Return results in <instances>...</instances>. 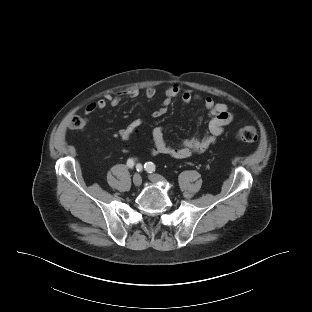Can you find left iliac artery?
Masks as SVG:
<instances>
[{
	"mask_svg": "<svg viewBox=\"0 0 312 312\" xmlns=\"http://www.w3.org/2000/svg\"><path fill=\"white\" fill-rule=\"evenodd\" d=\"M144 168L147 172L152 173L155 171V164L152 162H147L145 163Z\"/></svg>",
	"mask_w": 312,
	"mask_h": 312,
	"instance_id": "1",
	"label": "left iliac artery"
}]
</instances>
